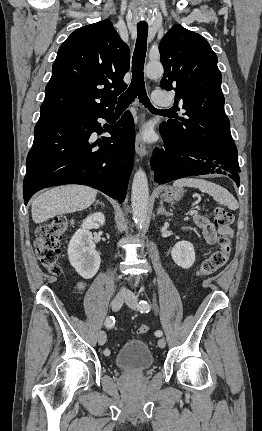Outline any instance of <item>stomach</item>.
Listing matches in <instances>:
<instances>
[{
  "label": "stomach",
  "mask_w": 262,
  "mask_h": 431,
  "mask_svg": "<svg viewBox=\"0 0 262 431\" xmlns=\"http://www.w3.org/2000/svg\"><path fill=\"white\" fill-rule=\"evenodd\" d=\"M183 196V190L181 188L167 186L163 189L161 198L166 202L178 201Z\"/></svg>",
  "instance_id": "stomach-1"
}]
</instances>
